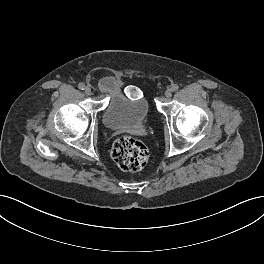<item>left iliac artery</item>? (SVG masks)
<instances>
[{"label":"left iliac artery","instance_id":"44dca946","mask_svg":"<svg viewBox=\"0 0 264 264\" xmlns=\"http://www.w3.org/2000/svg\"><path fill=\"white\" fill-rule=\"evenodd\" d=\"M172 91H177L179 89V86L177 84L172 85L171 87Z\"/></svg>","mask_w":264,"mask_h":264}]
</instances>
